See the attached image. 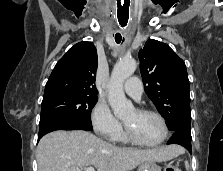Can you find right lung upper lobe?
Instances as JSON below:
<instances>
[{
    "mask_svg": "<svg viewBox=\"0 0 223 171\" xmlns=\"http://www.w3.org/2000/svg\"><path fill=\"white\" fill-rule=\"evenodd\" d=\"M97 65L93 43H77L55 65L46 83L44 98L66 93L97 95L94 85Z\"/></svg>",
    "mask_w": 223,
    "mask_h": 171,
    "instance_id": "obj_1",
    "label": "right lung upper lobe"
}]
</instances>
